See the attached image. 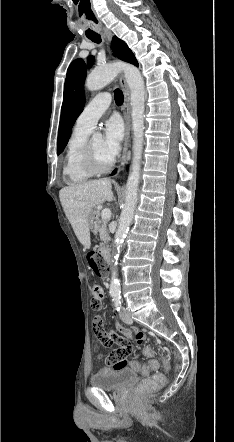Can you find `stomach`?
<instances>
[{"instance_id":"1","label":"stomach","mask_w":234,"mask_h":442,"mask_svg":"<svg viewBox=\"0 0 234 442\" xmlns=\"http://www.w3.org/2000/svg\"><path fill=\"white\" fill-rule=\"evenodd\" d=\"M96 219H97V215H96V212L93 210L90 213V216L88 218L89 230H91V231H96L97 230L98 225H97Z\"/></svg>"}]
</instances>
